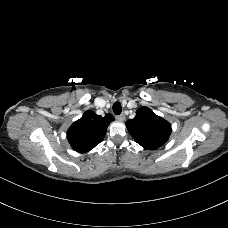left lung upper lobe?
I'll return each mask as SVG.
<instances>
[{
    "label": "left lung upper lobe",
    "mask_w": 228,
    "mask_h": 228,
    "mask_svg": "<svg viewBox=\"0 0 228 228\" xmlns=\"http://www.w3.org/2000/svg\"><path fill=\"white\" fill-rule=\"evenodd\" d=\"M126 126L138 144L152 150L166 143L172 131L169 122L145 106L136 111L135 118L128 120Z\"/></svg>",
    "instance_id": "1"
}]
</instances>
